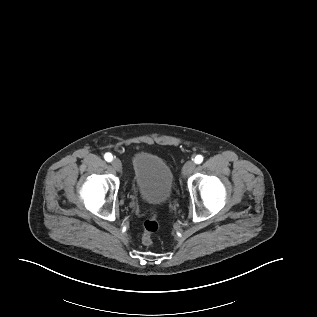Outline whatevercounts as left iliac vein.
Listing matches in <instances>:
<instances>
[{"label":"left iliac vein","mask_w":317,"mask_h":317,"mask_svg":"<svg viewBox=\"0 0 317 317\" xmlns=\"http://www.w3.org/2000/svg\"><path fill=\"white\" fill-rule=\"evenodd\" d=\"M195 163L193 161H187L182 169L183 176H189L195 169Z\"/></svg>","instance_id":"1"}]
</instances>
